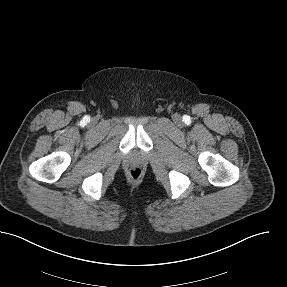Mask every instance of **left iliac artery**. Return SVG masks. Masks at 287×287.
I'll return each instance as SVG.
<instances>
[{
    "label": "left iliac artery",
    "instance_id": "obj_1",
    "mask_svg": "<svg viewBox=\"0 0 287 287\" xmlns=\"http://www.w3.org/2000/svg\"><path fill=\"white\" fill-rule=\"evenodd\" d=\"M188 121V117L187 118H185V122H187Z\"/></svg>",
    "mask_w": 287,
    "mask_h": 287
}]
</instances>
